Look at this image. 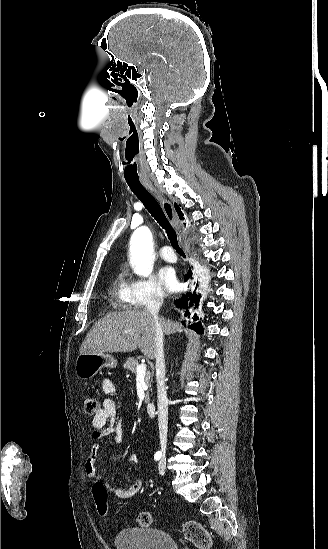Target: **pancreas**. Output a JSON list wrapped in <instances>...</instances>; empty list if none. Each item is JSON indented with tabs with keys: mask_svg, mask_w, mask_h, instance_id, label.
<instances>
[{
	"mask_svg": "<svg viewBox=\"0 0 328 549\" xmlns=\"http://www.w3.org/2000/svg\"><path fill=\"white\" fill-rule=\"evenodd\" d=\"M138 365H139V363H138L137 359H134V357H129L128 361H125V363H123L124 369H128V371H132V373H137ZM152 377H153V375H151L150 371H146V373H145V383H146L147 387H151ZM149 401H150V397H149V393L147 391L146 397H145V403H149Z\"/></svg>",
	"mask_w": 328,
	"mask_h": 549,
	"instance_id": "1",
	"label": "pancreas"
}]
</instances>
